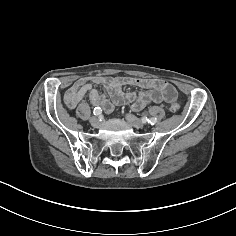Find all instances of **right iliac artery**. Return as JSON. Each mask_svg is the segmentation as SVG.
<instances>
[{"instance_id":"1","label":"right iliac artery","mask_w":236,"mask_h":236,"mask_svg":"<svg viewBox=\"0 0 236 236\" xmlns=\"http://www.w3.org/2000/svg\"><path fill=\"white\" fill-rule=\"evenodd\" d=\"M93 114L96 116H100L102 114V110L99 107L94 108Z\"/></svg>"}]
</instances>
